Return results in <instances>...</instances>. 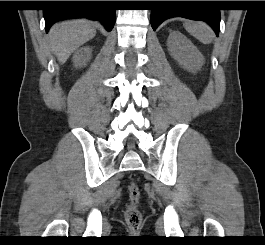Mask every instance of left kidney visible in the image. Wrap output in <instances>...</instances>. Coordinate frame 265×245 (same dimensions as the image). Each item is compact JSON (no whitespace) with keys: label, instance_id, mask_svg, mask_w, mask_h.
<instances>
[{"label":"left kidney","instance_id":"1","mask_svg":"<svg viewBox=\"0 0 265 245\" xmlns=\"http://www.w3.org/2000/svg\"><path fill=\"white\" fill-rule=\"evenodd\" d=\"M170 55L189 72L200 70L204 57L194 44L181 32H170L167 40Z\"/></svg>","mask_w":265,"mask_h":245}]
</instances>
